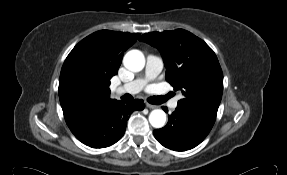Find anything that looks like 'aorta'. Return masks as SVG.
Here are the masks:
<instances>
[{
	"instance_id": "aorta-1",
	"label": "aorta",
	"mask_w": 287,
	"mask_h": 175,
	"mask_svg": "<svg viewBox=\"0 0 287 175\" xmlns=\"http://www.w3.org/2000/svg\"><path fill=\"white\" fill-rule=\"evenodd\" d=\"M124 66L133 72L141 71L145 66V57L139 50H131L123 59ZM149 122L154 128H162L166 122V113L161 109L153 110L149 115Z\"/></svg>"
}]
</instances>
